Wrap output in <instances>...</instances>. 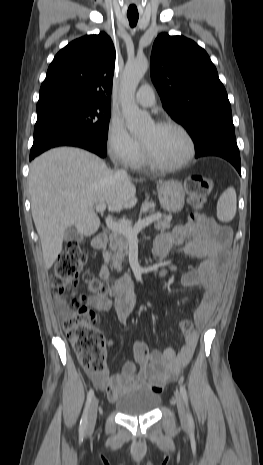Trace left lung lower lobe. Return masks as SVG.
Masks as SVG:
<instances>
[{"mask_svg": "<svg viewBox=\"0 0 263 465\" xmlns=\"http://www.w3.org/2000/svg\"><path fill=\"white\" fill-rule=\"evenodd\" d=\"M207 155H215L225 158L241 174L240 153L234 131L214 132L201 146L196 147V158Z\"/></svg>", "mask_w": 263, "mask_h": 465, "instance_id": "left-lung-lower-lobe-1", "label": "left lung lower lobe"}]
</instances>
